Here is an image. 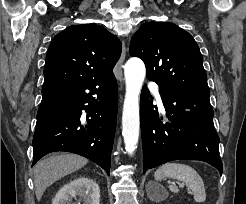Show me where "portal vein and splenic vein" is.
<instances>
[{
    "mask_svg": "<svg viewBox=\"0 0 246 204\" xmlns=\"http://www.w3.org/2000/svg\"><path fill=\"white\" fill-rule=\"evenodd\" d=\"M180 187H182V188H183V187H184V184H180Z\"/></svg>",
    "mask_w": 246,
    "mask_h": 204,
    "instance_id": "1",
    "label": "portal vein and splenic vein"
}]
</instances>
